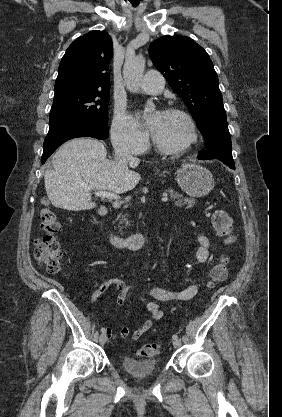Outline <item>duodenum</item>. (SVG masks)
<instances>
[{
	"label": "duodenum",
	"mask_w": 282,
	"mask_h": 417,
	"mask_svg": "<svg viewBox=\"0 0 282 417\" xmlns=\"http://www.w3.org/2000/svg\"><path fill=\"white\" fill-rule=\"evenodd\" d=\"M104 230L107 234L108 239L112 243L115 249L122 247H128L130 249H140L144 246L147 236L143 234H132V235H120L112 231L108 223L105 221L103 223Z\"/></svg>",
	"instance_id": "410a0bca"
}]
</instances>
